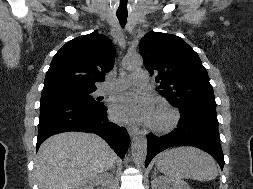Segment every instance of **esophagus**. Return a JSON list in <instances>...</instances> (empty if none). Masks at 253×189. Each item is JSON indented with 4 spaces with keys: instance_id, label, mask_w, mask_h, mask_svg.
Here are the masks:
<instances>
[{
    "instance_id": "1",
    "label": "esophagus",
    "mask_w": 253,
    "mask_h": 189,
    "mask_svg": "<svg viewBox=\"0 0 253 189\" xmlns=\"http://www.w3.org/2000/svg\"><path fill=\"white\" fill-rule=\"evenodd\" d=\"M127 131H128V134H129L130 136H133L134 134L137 133L138 129H137V128H133V127H129V128L127 129Z\"/></svg>"
}]
</instances>
